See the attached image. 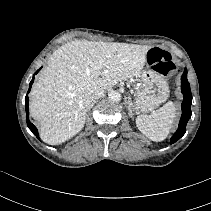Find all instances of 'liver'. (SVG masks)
<instances>
[{"label": "liver", "instance_id": "6515ba94", "mask_svg": "<svg viewBox=\"0 0 211 211\" xmlns=\"http://www.w3.org/2000/svg\"><path fill=\"white\" fill-rule=\"evenodd\" d=\"M151 47L75 40L53 52L30 92L40 138L58 145L81 131L92 95L138 76Z\"/></svg>", "mask_w": 211, "mask_h": 211}]
</instances>
